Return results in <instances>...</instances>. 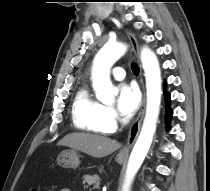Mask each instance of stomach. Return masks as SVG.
I'll use <instances>...</instances> for the list:
<instances>
[{"mask_svg": "<svg viewBox=\"0 0 210 191\" xmlns=\"http://www.w3.org/2000/svg\"><path fill=\"white\" fill-rule=\"evenodd\" d=\"M124 160L125 159L119 155L116 158V161L120 164H122ZM57 164L63 168H77L80 164L78 153L75 150L61 152L57 157Z\"/></svg>", "mask_w": 210, "mask_h": 191, "instance_id": "stomach-1", "label": "stomach"}]
</instances>
